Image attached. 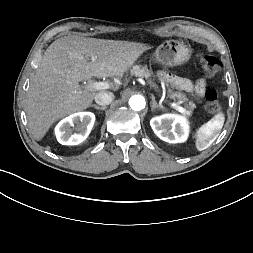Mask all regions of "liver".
Wrapping results in <instances>:
<instances>
[{
	"label": "liver",
	"mask_w": 253,
	"mask_h": 253,
	"mask_svg": "<svg viewBox=\"0 0 253 253\" xmlns=\"http://www.w3.org/2000/svg\"><path fill=\"white\" fill-rule=\"evenodd\" d=\"M148 49L142 43L76 35L55 40L44 52L27 92L25 110L34 138L41 140L55 121L91 105L95 91L82 90L78 82L122 77ZM119 87V82L111 85L114 91Z\"/></svg>",
	"instance_id": "obj_1"
}]
</instances>
